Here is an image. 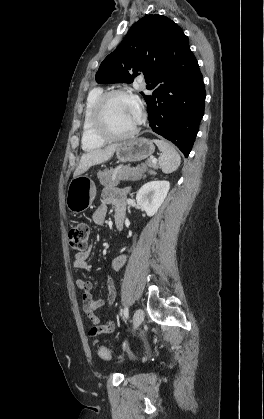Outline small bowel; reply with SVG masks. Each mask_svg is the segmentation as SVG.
Listing matches in <instances>:
<instances>
[{"instance_id": "c3829d8e", "label": "small bowel", "mask_w": 264, "mask_h": 419, "mask_svg": "<svg viewBox=\"0 0 264 419\" xmlns=\"http://www.w3.org/2000/svg\"><path fill=\"white\" fill-rule=\"evenodd\" d=\"M124 190L106 189L102 193V203L96 209L93 214V221L97 225H102L105 222L107 216V204H114L116 207L115 218L121 216L124 218ZM89 253L87 251L79 252L75 255L73 260V267L80 270L91 271L92 267L88 263ZM126 261V255L122 254L113 260L112 267L114 270L119 271ZM108 298L107 301L111 305L116 297L115 286L113 280L109 277H105ZM76 286L82 291L83 295V308L87 314L88 319L92 323V327L89 330V336L93 340L94 344H97L100 338L104 335L110 334L115 329V324L111 320L101 322L100 317L96 314V310L104 305V301L101 299H94L91 294L92 281L77 279Z\"/></svg>"}]
</instances>
